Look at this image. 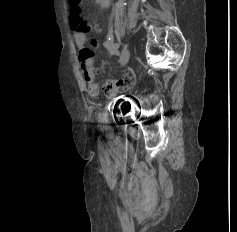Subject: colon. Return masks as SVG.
Here are the masks:
<instances>
[{
  "instance_id": "5ec220e1",
  "label": "colon",
  "mask_w": 237,
  "mask_h": 232,
  "mask_svg": "<svg viewBox=\"0 0 237 232\" xmlns=\"http://www.w3.org/2000/svg\"><path fill=\"white\" fill-rule=\"evenodd\" d=\"M70 22L73 30L78 33H86L89 30L88 24L82 16L81 0H69Z\"/></svg>"
}]
</instances>
